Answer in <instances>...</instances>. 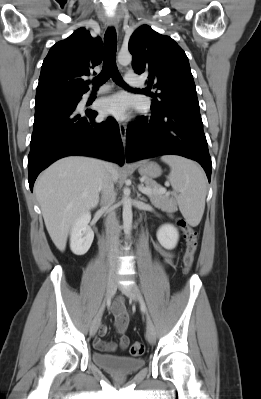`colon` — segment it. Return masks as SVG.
Wrapping results in <instances>:
<instances>
[{
    "mask_svg": "<svg viewBox=\"0 0 261 399\" xmlns=\"http://www.w3.org/2000/svg\"><path fill=\"white\" fill-rule=\"evenodd\" d=\"M178 224L182 226L184 229L186 250L183 255V265H184V271L187 273L190 271L194 262V256L198 246V234L192 227L188 226L185 223V221L179 219ZM144 350L145 347L143 343L135 342L130 347V354L132 356H140L143 354Z\"/></svg>",
    "mask_w": 261,
    "mask_h": 399,
    "instance_id": "obj_1",
    "label": "colon"
}]
</instances>
